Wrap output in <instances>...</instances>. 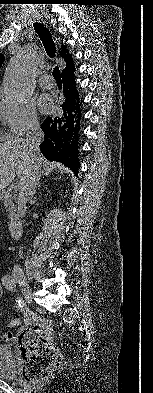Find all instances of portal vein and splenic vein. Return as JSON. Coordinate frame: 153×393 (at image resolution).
<instances>
[{"instance_id":"1","label":"portal vein and splenic vein","mask_w":153,"mask_h":393,"mask_svg":"<svg viewBox=\"0 0 153 393\" xmlns=\"http://www.w3.org/2000/svg\"><path fill=\"white\" fill-rule=\"evenodd\" d=\"M13 187H14V189H19L21 187V184L20 183L14 184Z\"/></svg>"}]
</instances>
